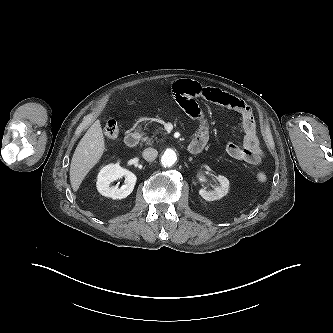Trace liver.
I'll return each instance as SVG.
<instances>
[{"mask_svg": "<svg viewBox=\"0 0 333 333\" xmlns=\"http://www.w3.org/2000/svg\"><path fill=\"white\" fill-rule=\"evenodd\" d=\"M105 150L99 120H96L78 143L70 164V182L76 192L88 172L98 163Z\"/></svg>", "mask_w": 333, "mask_h": 333, "instance_id": "1", "label": "liver"}]
</instances>
